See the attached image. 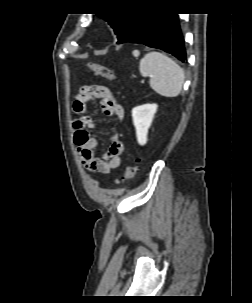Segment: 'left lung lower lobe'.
Segmentation results:
<instances>
[{
  "label": "left lung lower lobe",
  "instance_id": "left-lung-lower-lobe-1",
  "mask_svg": "<svg viewBox=\"0 0 252 303\" xmlns=\"http://www.w3.org/2000/svg\"><path fill=\"white\" fill-rule=\"evenodd\" d=\"M133 42L164 50L181 62L186 60L183 36L176 14L146 13L118 44Z\"/></svg>",
  "mask_w": 252,
  "mask_h": 303
}]
</instances>
